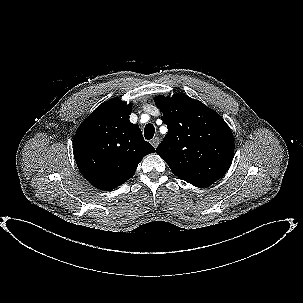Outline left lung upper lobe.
<instances>
[{"mask_svg":"<svg viewBox=\"0 0 303 303\" xmlns=\"http://www.w3.org/2000/svg\"><path fill=\"white\" fill-rule=\"evenodd\" d=\"M168 133L156 153L190 184L214 183L229 169L234 153L231 129L215 111L184 94L158 96Z\"/></svg>","mask_w":303,"mask_h":303,"instance_id":"left-lung-upper-lobe-1","label":"left lung upper lobe"}]
</instances>
